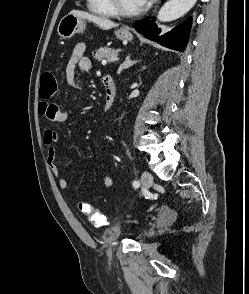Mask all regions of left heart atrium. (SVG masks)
<instances>
[{
	"label": "left heart atrium",
	"instance_id": "left-heart-atrium-1",
	"mask_svg": "<svg viewBox=\"0 0 249 294\" xmlns=\"http://www.w3.org/2000/svg\"><path fill=\"white\" fill-rule=\"evenodd\" d=\"M141 5H144L148 0H138Z\"/></svg>",
	"mask_w": 249,
	"mask_h": 294
}]
</instances>
